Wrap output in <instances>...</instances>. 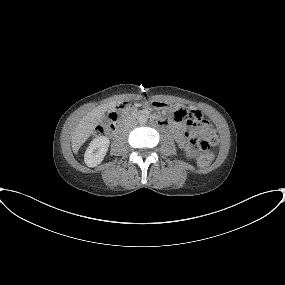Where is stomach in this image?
<instances>
[{"label":"stomach","instance_id":"stomach-1","mask_svg":"<svg viewBox=\"0 0 285 285\" xmlns=\"http://www.w3.org/2000/svg\"><path fill=\"white\" fill-rule=\"evenodd\" d=\"M149 104L155 110H162L168 108V104L162 101H151Z\"/></svg>","mask_w":285,"mask_h":285}]
</instances>
